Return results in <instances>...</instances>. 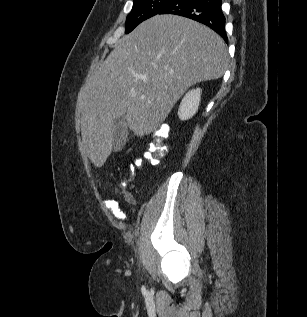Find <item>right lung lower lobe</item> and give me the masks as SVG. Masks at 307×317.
<instances>
[{"mask_svg": "<svg viewBox=\"0 0 307 317\" xmlns=\"http://www.w3.org/2000/svg\"><path fill=\"white\" fill-rule=\"evenodd\" d=\"M221 5V0H172L159 14L179 15L203 23L227 42Z\"/></svg>", "mask_w": 307, "mask_h": 317, "instance_id": "98d812e1", "label": "right lung lower lobe"}]
</instances>
